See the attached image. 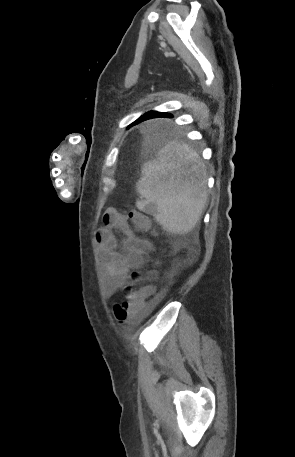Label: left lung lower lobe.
Returning <instances> with one entry per match:
<instances>
[{
	"mask_svg": "<svg viewBox=\"0 0 295 457\" xmlns=\"http://www.w3.org/2000/svg\"><path fill=\"white\" fill-rule=\"evenodd\" d=\"M157 117H171V115L167 114V113H160V112L153 111L152 117L149 119L157 118Z\"/></svg>",
	"mask_w": 295,
	"mask_h": 457,
	"instance_id": "1",
	"label": "left lung lower lobe"
}]
</instances>
